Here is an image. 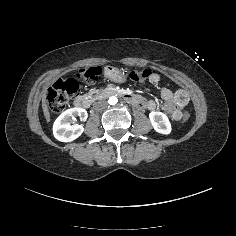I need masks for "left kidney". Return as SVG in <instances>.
<instances>
[{
  "label": "left kidney",
  "instance_id": "5707ae66",
  "mask_svg": "<svg viewBox=\"0 0 236 236\" xmlns=\"http://www.w3.org/2000/svg\"><path fill=\"white\" fill-rule=\"evenodd\" d=\"M149 118L156 132L161 134H169L171 132V124L164 113L153 111L149 114Z\"/></svg>",
  "mask_w": 236,
  "mask_h": 236
}]
</instances>
